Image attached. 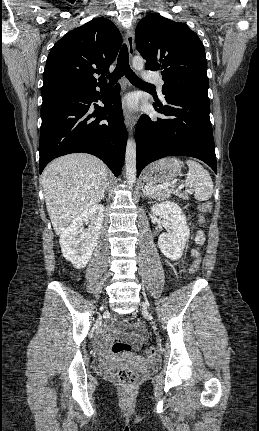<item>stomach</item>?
Masks as SVG:
<instances>
[{
  "mask_svg": "<svg viewBox=\"0 0 259 431\" xmlns=\"http://www.w3.org/2000/svg\"><path fill=\"white\" fill-rule=\"evenodd\" d=\"M182 166L183 163L175 157L160 159L146 168L143 180L148 185L167 183L180 173Z\"/></svg>",
  "mask_w": 259,
  "mask_h": 431,
  "instance_id": "obj_1",
  "label": "stomach"
}]
</instances>
